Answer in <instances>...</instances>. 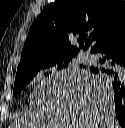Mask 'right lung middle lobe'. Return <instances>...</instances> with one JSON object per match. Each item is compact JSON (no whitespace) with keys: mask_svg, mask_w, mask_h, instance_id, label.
Listing matches in <instances>:
<instances>
[{"mask_svg":"<svg viewBox=\"0 0 125 128\" xmlns=\"http://www.w3.org/2000/svg\"><path fill=\"white\" fill-rule=\"evenodd\" d=\"M71 59L64 60L60 58H53L34 63L24 69L18 70L16 73L13 95L16 96L33 79V77L38 73L40 69H46L56 65H60L64 62L66 63L70 61ZM65 66L66 64H63L62 66H59L58 69ZM98 78L107 81V77L105 74H98Z\"/></svg>","mask_w":125,"mask_h":128,"instance_id":"dd1d6c3e","label":"right lung middle lobe"}]
</instances>
